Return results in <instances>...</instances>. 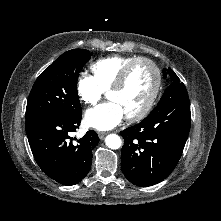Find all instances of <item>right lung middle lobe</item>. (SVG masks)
I'll return each mask as SVG.
<instances>
[{
	"label": "right lung middle lobe",
	"instance_id": "dd1d6c3e",
	"mask_svg": "<svg viewBox=\"0 0 221 221\" xmlns=\"http://www.w3.org/2000/svg\"><path fill=\"white\" fill-rule=\"evenodd\" d=\"M91 53L85 49L62 54L35 81L30 92L26 120L45 114H82L77 92V80Z\"/></svg>",
	"mask_w": 221,
	"mask_h": 221
}]
</instances>
